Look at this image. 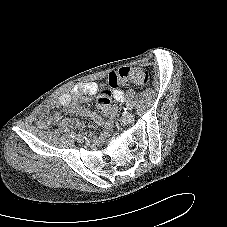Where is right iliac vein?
Listing matches in <instances>:
<instances>
[{
	"mask_svg": "<svg viewBox=\"0 0 227 227\" xmlns=\"http://www.w3.org/2000/svg\"><path fill=\"white\" fill-rule=\"evenodd\" d=\"M76 140L79 143H83L84 142V137L82 135H77Z\"/></svg>",
	"mask_w": 227,
	"mask_h": 227,
	"instance_id": "1",
	"label": "right iliac vein"
}]
</instances>
